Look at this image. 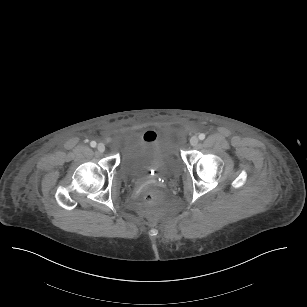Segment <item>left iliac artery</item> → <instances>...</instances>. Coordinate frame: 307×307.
<instances>
[{
  "mask_svg": "<svg viewBox=\"0 0 307 307\" xmlns=\"http://www.w3.org/2000/svg\"><path fill=\"white\" fill-rule=\"evenodd\" d=\"M205 137H206V136H205V134H204V133L199 134V139H200V140H204V139H205Z\"/></svg>",
  "mask_w": 307,
  "mask_h": 307,
  "instance_id": "left-iliac-artery-1",
  "label": "left iliac artery"
}]
</instances>
